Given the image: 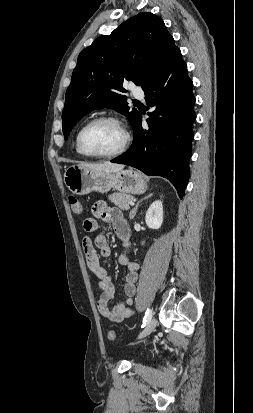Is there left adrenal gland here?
Wrapping results in <instances>:
<instances>
[{"instance_id": "obj_1", "label": "left adrenal gland", "mask_w": 253, "mask_h": 413, "mask_svg": "<svg viewBox=\"0 0 253 413\" xmlns=\"http://www.w3.org/2000/svg\"><path fill=\"white\" fill-rule=\"evenodd\" d=\"M152 195H153V193H150L149 195L145 196L144 198H142L141 200H139V201L137 202L136 206L130 211V215H129V216H130V219H133V218L135 217L136 212H137V209H138L140 203H141L143 200H146V199L150 198Z\"/></svg>"}]
</instances>
